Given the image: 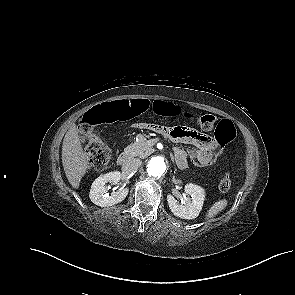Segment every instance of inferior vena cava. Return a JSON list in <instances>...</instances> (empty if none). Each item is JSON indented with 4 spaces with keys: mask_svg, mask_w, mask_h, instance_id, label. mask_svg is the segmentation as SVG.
Returning a JSON list of instances; mask_svg holds the SVG:
<instances>
[{
    "mask_svg": "<svg viewBox=\"0 0 295 295\" xmlns=\"http://www.w3.org/2000/svg\"><path fill=\"white\" fill-rule=\"evenodd\" d=\"M141 163L142 162L140 159H137V158L129 159L122 165V171L126 173H131L137 170L140 167Z\"/></svg>",
    "mask_w": 295,
    "mask_h": 295,
    "instance_id": "1",
    "label": "inferior vena cava"
}]
</instances>
